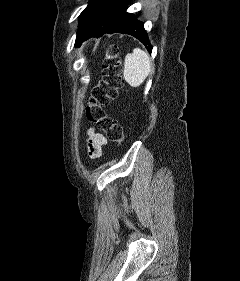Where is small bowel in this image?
I'll use <instances>...</instances> for the list:
<instances>
[{"label":"small bowel","mask_w":240,"mask_h":281,"mask_svg":"<svg viewBox=\"0 0 240 281\" xmlns=\"http://www.w3.org/2000/svg\"><path fill=\"white\" fill-rule=\"evenodd\" d=\"M107 145L106 137L90 128L87 133L86 146L87 151L92 159H97L102 155V149Z\"/></svg>","instance_id":"1"}]
</instances>
